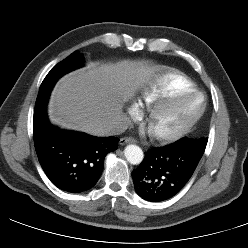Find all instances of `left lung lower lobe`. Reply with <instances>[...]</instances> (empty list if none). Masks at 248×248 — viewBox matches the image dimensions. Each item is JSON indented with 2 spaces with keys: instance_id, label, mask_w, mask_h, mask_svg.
<instances>
[{
  "instance_id": "0a47b994",
  "label": "left lung lower lobe",
  "mask_w": 248,
  "mask_h": 248,
  "mask_svg": "<svg viewBox=\"0 0 248 248\" xmlns=\"http://www.w3.org/2000/svg\"><path fill=\"white\" fill-rule=\"evenodd\" d=\"M203 153L200 148L177 141L151 148L132 172L137 194L150 202L174 197L190 180Z\"/></svg>"
}]
</instances>
